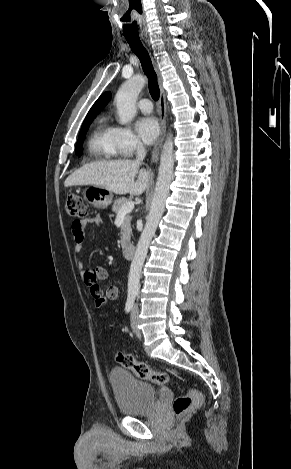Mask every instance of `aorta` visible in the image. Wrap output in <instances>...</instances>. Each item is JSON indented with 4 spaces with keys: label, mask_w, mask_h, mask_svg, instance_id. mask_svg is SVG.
Masks as SVG:
<instances>
[{
    "label": "aorta",
    "mask_w": 291,
    "mask_h": 469,
    "mask_svg": "<svg viewBox=\"0 0 291 469\" xmlns=\"http://www.w3.org/2000/svg\"><path fill=\"white\" fill-rule=\"evenodd\" d=\"M146 81L141 75H136L126 81L118 90L115 101L119 116V123L126 125L136 115V101ZM173 140L169 134L161 152L159 173L155 192L146 224L137 244L136 252L130 266L128 276V293L137 294L140 288V275L146 258L149 244L156 232L158 223L163 215L165 202L169 194V186L173 174Z\"/></svg>",
    "instance_id": "1"
}]
</instances>
